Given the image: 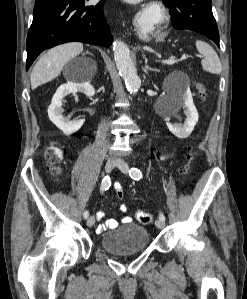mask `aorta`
Here are the masks:
<instances>
[{
  "mask_svg": "<svg viewBox=\"0 0 247 299\" xmlns=\"http://www.w3.org/2000/svg\"><path fill=\"white\" fill-rule=\"evenodd\" d=\"M113 53L116 67L125 81L127 90L136 94L141 86V80L130 56L129 48L122 41L113 42Z\"/></svg>",
  "mask_w": 247,
  "mask_h": 299,
  "instance_id": "aorta-1",
  "label": "aorta"
}]
</instances>
